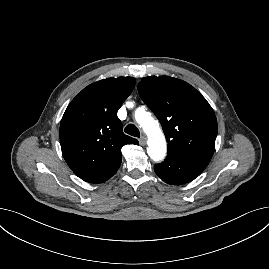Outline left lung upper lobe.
I'll list each match as a JSON object with an SVG mask.
<instances>
[{"instance_id": "obj_1", "label": "left lung upper lobe", "mask_w": 269, "mask_h": 269, "mask_svg": "<svg viewBox=\"0 0 269 269\" xmlns=\"http://www.w3.org/2000/svg\"><path fill=\"white\" fill-rule=\"evenodd\" d=\"M138 92L159 119L168 152L212 158L217 120L212 107L195 88L180 79L149 76L139 82Z\"/></svg>"}]
</instances>
